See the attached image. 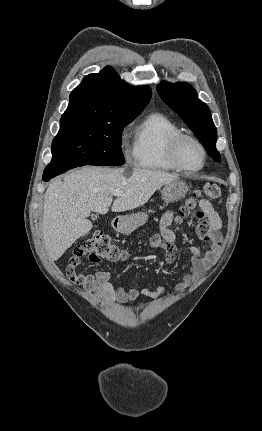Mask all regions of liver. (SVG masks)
<instances>
[{"label": "liver", "mask_w": 262, "mask_h": 431, "mask_svg": "<svg viewBox=\"0 0 262 431\" xmlns=\"http://www.w3.org/2000/svg\"><path fill=\"white\" fill-rule=\"evenodd\" d=\"M178 179V175L159 170L83 167L53 180L44 195L43 241L53 261L58 260L92 223L91 211L106 214L113 191L122 194L113 201V212L133 210L148 202L156 190Z\"/></svg>", "instance_id": "1"}]
</instances>
